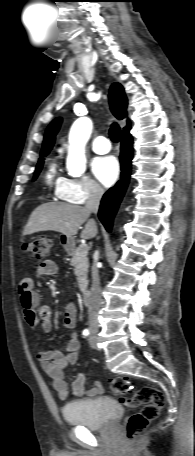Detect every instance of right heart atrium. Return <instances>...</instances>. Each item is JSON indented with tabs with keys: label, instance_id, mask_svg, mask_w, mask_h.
<instances>
[{
	"label": "right heart atrium",
	"instance_id": "right-heart-atrium-1",
	"mask_svg": "<svg viewBox=\"0 0 195 456\" xmlns=\"http://www.w3.org/2000/svg\"><path fill=\"white\" fill-rule=\"evenodd\" d=\"M102 195L103 189L88 177L65 178L59 190V197L73 204H84L87 201L97 200Z\"/></svg>",
	"mask_w": 195,
	"mask_h": 456
}]
</instances>
